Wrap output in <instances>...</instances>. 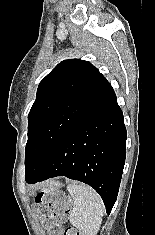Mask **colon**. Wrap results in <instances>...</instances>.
Wrapping results in <instances>:
<instances>
[{"label": "colon", "instance_id": "colon-1", "mask_svg": "<svg viewBox=\"0 0 155 235\" xmlns=\"http://www.w3.org/2000/svg\"><path fill=\"white\" fill-rule=\"evenodd\" d=\"M35 203L38 218L49 224L52 233H56L58 227L52 223V220H60L68 215L71 207L69 199L54 192L42 191L37 194ZM64 235H81V233L70 228L64 232Z\"/></svg>", "mask_w": 155, "mask_h": 235}]
</instances>
